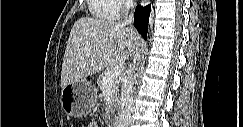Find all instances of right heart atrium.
I'll use <instances>...</instances> for the list:
<instances>
[{
	"label": "right heart atrium",
	"instance_id": "1",
	"mask_svg": "<svg viewBox=\"0 0 243 127\" xmlns=\"http://www.w3.org/2000/svg\"><path fill=\"white\" fill-rule=\"evenodd\" d=\"M117 3L115 13L116 15L123 14L128 11L131 6V1L129 0H115Z\"/></svg>",
	"mask_w": 243,
	"mask_h": 127
}]
</instances>
